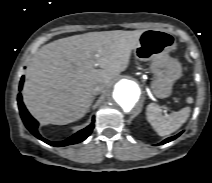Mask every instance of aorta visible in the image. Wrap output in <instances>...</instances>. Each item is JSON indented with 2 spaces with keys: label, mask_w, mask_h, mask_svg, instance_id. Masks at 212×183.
<instances>
[{
  "label": "aorta",
  "mask_w": 212,
  "mask_h": 183,
  "mask_svg": "<svg viewBox=\"0 0 212 183\" xmlns=\"http://www.w3.org/2000/svg\"><path fill=\"white\" fill-rule=\"evenodd\" d=\"M140 95V87L135 81L122 79L114 85L111 100L118 109L130 112L138 104Z\"/></svg>",
  "instance_id": "obj_1"
}]
</instances>
